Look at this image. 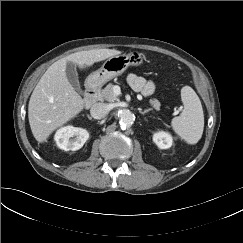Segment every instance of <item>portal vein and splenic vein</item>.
<instances>
[{"label": "portal vein and splenic vein", "instance_id": "18ae733b", "mask_svg": "<svg viewBox=\"0 0 243 243\" xmlns=\"http://www.w3.org/2000/svg\"><path fill=\"white\" fill-rule=\"evenodd\" d=\"M114 95L118 96L121 93V89L119 86H114L113 88Z\"/></svg>", "mask_w": 243, "mask_h": 243}]
</instances>
